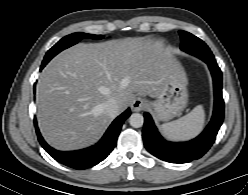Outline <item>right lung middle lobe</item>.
I'll use <instances>...</instances> for the list:
<instances>
[{
    "instance_id": "right-lung-middle-lobe-1",
    "label": "right lung middle lobe",
    "mask_w": 248,
    "mask_h": 195,
    "mask_svg": "<svg viewBox=\"0 0 248 195\" xmlns=\"http://www.w3.org/2000/svg\"><path fill=\"white\" fill-rule=\"evenodd\" d=\"M101 39L102 35H92L82 32L73 33L62 38L58 43H56L45 55L42 64H47L55 55H57L62 50L76 44L82 39Z\"/></svg>"
}]
</instances>
